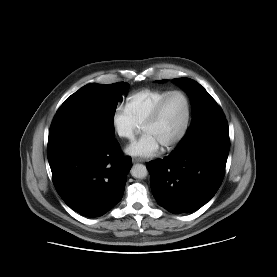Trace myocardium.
<instances>
[{
    "mask_svg": "<svg viewBox=\"0 0 277 277\" xmlns=\"http://www.w3.org/2000/svg\"><path fill=\"white\" fill-rule=\"evenodd\" d=\"M173 95H181L185 99L186 107H187V113H186L185 123H184V126H183L181 132L170 143L163 146L165 150H172L176 146H178L183 141V139L186 137V135L189 131L190 124H191V119H192V102H191V99H190L189 95L186 92L182 91V90H172V91H170L168 94H166L158 102V104L154 108L151 115L148 117V119L142 125L143 130H144L147 126L152 125L155 122H157L158 119L160 118L161 114H162V111L164 109V106H165L166 102Z\"/></svg>",
    "mask_w": 277,
    "mask_h": 277,
    "instance_id": "1",
    "label": "myocardium"
}]
</instances>
